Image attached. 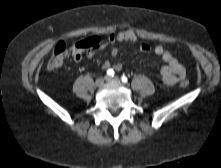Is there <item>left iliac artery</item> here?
<instances>
[{"label":"left iliac artery","instance_id":"obj_1","mask_svg":"<svg viewBox=\"0 0 221 168\" xmlns=\"http://www.w3.org/2000/svg\"><path fill=\"white\" fill-rule=\"evenodd\" d=\"M121 80H122L123 83H127V81H128V79H127V77L125 75H123L121 77Z\"/></svg>","mask_w":221,"mask_h":168}]
</instances>
